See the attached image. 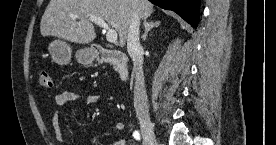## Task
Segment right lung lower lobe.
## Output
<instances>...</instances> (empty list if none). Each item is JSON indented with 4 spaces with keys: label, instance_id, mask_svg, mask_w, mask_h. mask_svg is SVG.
Listing matches in <instances>:
<instances>
[{
    "label": "right lung lower lobe",
    "instance_id": "98d812e1",
    "mask_svg": "<svg viewBox=\"0 0 276 145\" xmlns=\"http://www.w3.org/2000/svg\"><path fill=\"white\" fill-rule=\"evenodd\" d=\"M153 4L167 10H172L181 16L192 27L199 22V0H149Z\"/></svg>",
    "mask_w": 276,
    "mask_h": 145
}]
</instances>
